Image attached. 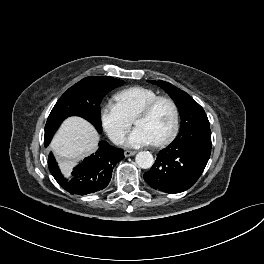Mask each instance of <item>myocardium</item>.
<instances>
[{"label": "myocardium", "mask_w": 264, "mask_h": 264, "mask_svg": "<svg viewBox=\"0 0 264 264\" xmlns=\"http://www.w3.org/2000/svg\"><path fill=\"white\" fill-rule=\"evenodd\" d=\"M160 102H167L170 104L172 110H173V122L171 125L170 130L168 131V133L163 136L162 138H160L157 141H154V145L156 146H161L164 145L166 143H168L170 140H172V138L175 136L177 130H178V126H179V108L176 104V102L174 101V99H172L169 96H158L156 98H154L153 100H151L150 102H148L134 117V124L136 123V121L140 118H145L147 116H149L152 111L155 109V107L160 103Z\"/></svg>", "instance_id": "f54148a6"}]
</instances>
